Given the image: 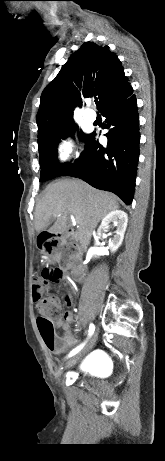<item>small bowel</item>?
I'll return each instance as SVG.
<instances>
[{
    "label": "small bowel",
    "instance_id": "small-bowel-1",
    "mask_svg": "<svg viewBox=\"0 0 165 461\" xmlns=\"http://www.w3.org/2000/svg\"><path fill=\"white\" fill-rule=\"evenodd\" d=\"M80 262V256H64L63 260H59L58 265L61 268V270L65 274H67V277L70 273L72 278H80L82 275L81 271H86L88 269L87 263ZM74 300V295H69L68 293L63 295L64 307L66 309H71L74 305ZM73 321L74 316L71 312H66L64 314L63 319L59 318L54 321V325L59 328H62L64 331L63 336L58 338L55 348L52 349L54 353L60 354L78 343L77 338L71 330V324L73 323Z\"/></svg>",
    "mask_w": 165,
    "mask_h": 461
}]
</instances>
